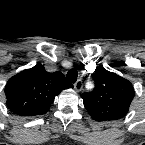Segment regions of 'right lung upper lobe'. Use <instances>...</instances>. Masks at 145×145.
I'll return each instance as SVG.
<instances>
[{
  "mask_svg": "<svg viewBox=\"0 0 145 145\" xmlns=\"http://www.w3.org/2000/svg\"><path fill=\"white\" fill-rule=\"evenodd\" d=\"M61 72L49 73L42 65L26 69L12 78L5 86L8 108L23 117L46 113L55 96L72 88Z\"/></svg>",
  "mask_w": 145,
  "mask_h": 145,
  "instance_id": "obj_1",
  "label": "right lung upper lobe"
}]
</instances>
